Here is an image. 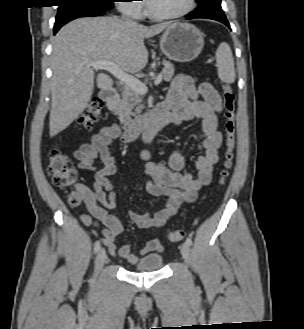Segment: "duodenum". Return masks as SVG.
<instances>
[{
    "label": "duodenum",
    "instance_id": "1",
    "mask_svg": "<svg viewBox=\"0 0 304 329\" xmlns=\"http://www.w3.org/2000/svg\"><path fill=\"white\" fill-rule=\"evenodd\" d=\"M104 102V109L112 115L115 110L117 93L113 88L103 89L99 94ZM173 116L167 108L161 103L153 108L148 114L130 121L122 134L124 142H132L138 137L151 139L164 126L170 124Z\"/></svg>",
    "mask_w": 304,
    "mask_h": 329
}]
</instances>
